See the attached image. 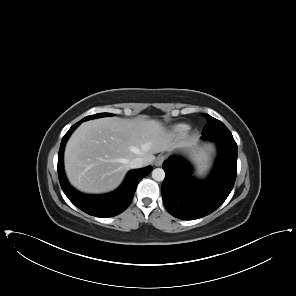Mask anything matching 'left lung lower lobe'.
I'll return each instance as SVG.
<instances>
[{
    "label": "left lung lower lobe",
    "instance_id": "1",
    "mask_svg": "<svg viewBox=\"0 0 296 296\" xmlns=\"http://www.w3.org/2000/svg\"><path fill=\"white\" fill-rule=\"evenodd\" d=\"M219 156L206 181L191 176L190 165L180 157L163 163L166 173L161 187L163 202L170 214L186 220L204 217L216 210L230 194L237 174V144L217 142Z\"/></svg>",
    "mask_w": 296,
    "mask_h": 296
}]
</instances>
